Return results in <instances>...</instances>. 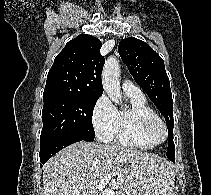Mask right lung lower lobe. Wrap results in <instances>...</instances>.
<instances>
[{
  "label": "right lung lower lobe",
  "instance_id": "98d812e1",
  "mask_svg": "<svg viewBox=\"0 0 211 195\" xmlns=\"http://www.w3.org/2000/svg\"><path fill=\"white\" fill-rule=\"evenodd\" d=\"M81 140H84V139L81 137L72 136V137L59 138V139L47 142L45 144H42L41 149H40L41 163L44 164L50 157H52L54 154H56L63 148ZM42 164H41V167H42Z\"/></svg>",
  "mask_w": 211,
  "mask_h": 195
}]
</instances>
